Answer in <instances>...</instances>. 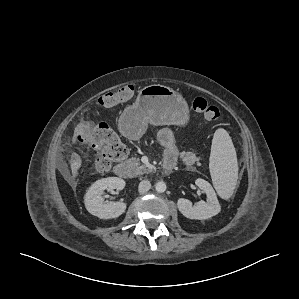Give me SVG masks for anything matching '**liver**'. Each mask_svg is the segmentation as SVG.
Here are the masks:
<instances>
[{"label":"liver","mask_w":299,"mask_h":299,"mask_svg":"<svg viewBox=\"0 0 299 299\" xmlns=\"http://www.w3.org/2000/svg\"><path fill=\"white\" fill-rule=\"evenodd\" d=\"M88 128H89V125H87V124H81L79 126V133L80 134H84V131L86 129H88ZM70 164H71V169H72L73 177H76L77 174H78L77 171L81 167V159H80V157L76 153L72 154L71 160H70Z\"/></svg>","instance_id":"1"}]
</instances>
